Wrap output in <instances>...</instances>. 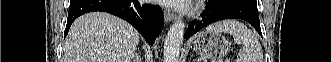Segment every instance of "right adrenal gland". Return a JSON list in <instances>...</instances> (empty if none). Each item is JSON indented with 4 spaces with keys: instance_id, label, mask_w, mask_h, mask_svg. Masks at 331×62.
<instances>
[{
    "instance_id": "obj_1",
    "label": "right adrenal gland",
    "mask_w": 331,
    "mask_h": 62,
    "mask_svg": "<svg viewBox=\"0 0 331 62\" xmlns=\"http://www.w3.org/2000/svg\"><path fill=\"white\" fill-rule=\"evenodd\" d=\"M133 62H141V58H140V56L138 54H135L133 56Z\"/></svg>"
}]
</instances>
